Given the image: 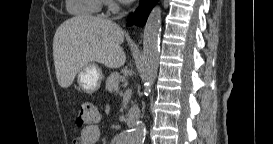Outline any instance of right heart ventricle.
Here are the masks:
<instances>
[{
	"label": "right heart ventricle",
	"instance_id": "1",
	"mask_svg": "<svg viewBox=\"0 0 273 144\" xmlns=\"http://www.w3.org/2000/svg\"><path fill=\"white\" fill-rule=\"evenodd\" d=\"M103 0H68L67 10L74 16H90L98 14Z\"/></svg>",
	"mask_w": 273,
	"mask_h": 144
}]
</instances>
